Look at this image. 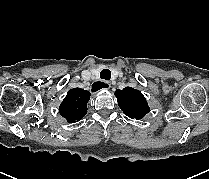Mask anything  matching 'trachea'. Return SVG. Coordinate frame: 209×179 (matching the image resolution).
Wrapping results in <instances>:
<instances>
[{"label": "trachea", "mask_w": 209, "mask_h": 179, "mask_svg": "<svg viewBox=\"0 0 209 179\" xmlns=\"http://www.w3.org/2000/svg\"><path fill=\"white\" fill-rule=\"evenodd\" d=\"M100 77L105 80H110L111 78V71L108 69H103L100 73Z\"/></svg>", "instance_id": "trachea-1"}]
</instances>
